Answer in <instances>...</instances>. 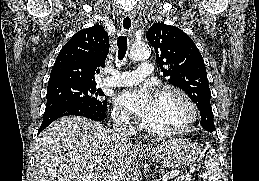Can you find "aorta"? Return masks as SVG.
<instances>
[{"mask_svg":"<svg viewBox=\"0 0 259 181\" xmlns=\"http://www.w3.org/2000/svg\"><path fill=\"white\" fill-rule=\"evenodd\" d=\"M150 56V49L145 43H136L132 45L129 57L132 60H144Z\"/></svg>","mask_w":259,"mask_h":181,"instance_id":"762f6f07","label":"aorta"}]
</instances>
